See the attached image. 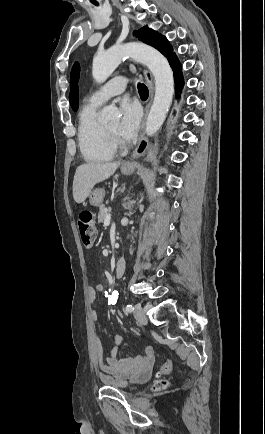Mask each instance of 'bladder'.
Masks as SVG:
<instances>
[{
  "label": "bladder",
  "mask_w": 265,
  "mask_h": 434,
  "mask_svg": "<svg viewBox=\"0 0 265 434\" xmlns=\"http://www.w3.org/2000/svg\"><path fill=\"white\" fill-rule=\"evenodd\" d=\"M136 388H137L136 385H131V386H128V387L126 388V390H127V391H133V390H135Z\"/></svg>",
  "instance_id": "obj_1"
}]
</instances>
